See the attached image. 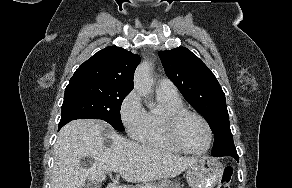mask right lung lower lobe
<instances>
[{
    "mask_svg": "<svg viewBox=\"0 0 292 188\" xmlns=\"http://www.w3.org/2000/svg\"><path fill=\"white\" fill-rule=\"evenodd\" d=\"M66 123H68V121H66V122H63V123H59V127H58V130L62 127V126H64Z\"/></svg>",
    "mask_w": 292,
    "mask_h": 188,
    "instance_id": "right-lung-lower-lobe-1",
    "label": "right lung lower lobe"
}]
</instances>
